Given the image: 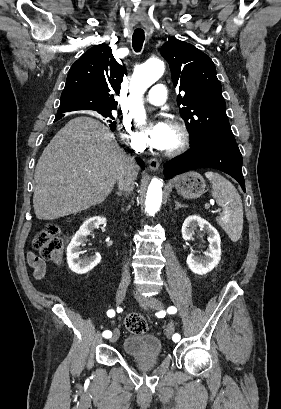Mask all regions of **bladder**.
Instances as JSON below:
<instances>
[{
  "label": "bladder",
  "instance_id": "bladder-1",
  "mask_svg": "<svg viewBox=\"0 0 281 409\" xmlns=\"http://www.w3.org/2000/svg\"><path fill=\"white\" fill-rule=\"evenodd\" d=\"M121 350L127 357L135 355H164L165 349L160 336L153 333L130 334L121 340Z\"/></svg>",
  "mask_w": 281,
  "mask_h": 409
}]
</instances>
